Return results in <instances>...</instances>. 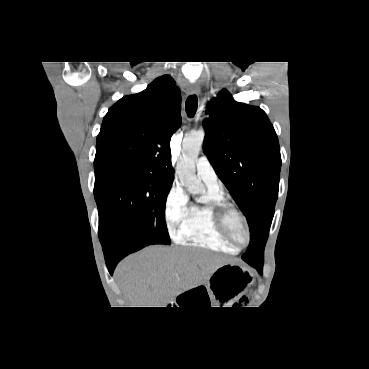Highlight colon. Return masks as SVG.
<instances>
[{
  "label": "colon",
  "instance_id": "obj_1",
  "mask_svg": "<svg viewBox=\"0 0 369 369\" xmlns=\"http://www.w3.org/2000/svg\"><path fill=\"white\" fill-rule=\"evenodd\" d=\"M246 303V298H242L238 301V303H236L237 306H242Z\"/></svg>",
  "mask_w": 369,
  "mask_h": 369
}]
</instances>
